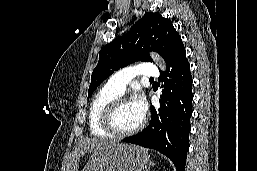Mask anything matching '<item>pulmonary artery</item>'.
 Returning a JSON list of instances; mask_svg holds the SVG:
<instances>
[{
	"label": "pulmonary artery",
	"mask_w": 257,
	"mask_h": 171,
	"mask_svg": "<svg viewBox=\"0 0 257 171\" xmlns=\"http://www.w3.org/2000/svg\"><path fill=\"white\" fill-rule=\"evenodd\" d=\"M137 76L157 78L159 71L155 64L150 62L124 67L115 72L106 85L119 94H123L128 83Z\"/></svg>",
	"instance_id": "obj_1"
}]
</instances>
